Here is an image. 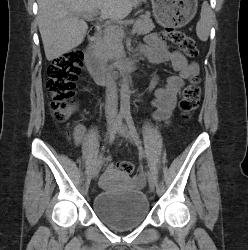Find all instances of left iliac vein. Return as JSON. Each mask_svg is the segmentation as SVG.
<instances>
[{
	"label": "left iliac vein",
	"instance_id": "4c4485c4",
	"mask_svg": "<svg viewBox=\"0 0 248 250\" xmlns=\"http://www.w3.org/2000/svg\"><path fill=\"white\" fill-rule=\"evenodd\" d=\"M117 133L120 136H122L123 138L128 139V140H130L132 142L133 139H132V136H131V132L124 123H121L120 127L117 130ZM147 178H148V184H149L150 189L154 190L155 186H156L155 175L152 172L149 171L148 174H147Z\"/></svg>",
	"mask_w": 248,
	"mask_h": 250
}]
</instances>
